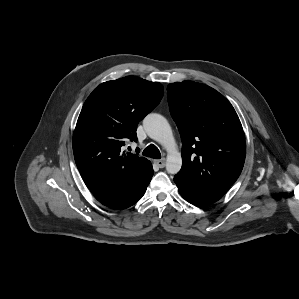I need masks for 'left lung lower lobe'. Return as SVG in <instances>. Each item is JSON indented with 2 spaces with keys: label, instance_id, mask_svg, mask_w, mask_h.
<instances>
[{
  "label": "left lung lower lobe",
  "instance_id": "1",
  "mask_svg": "<svg viewBox=\"0 0 299 299\" xmlns=\"http://www.w3.org/2000/svg\"><path fill=\"white\" fill-rule=\"evenodd\" d=\"M174 182L176 183L182 197L188 202L197 206L212 204L223 196L193 185L188 181L179 178L178 176L174 177Z\"/></svg>",
  "mask_w": 299,
  "mask_h": 299
}]
</instances>
